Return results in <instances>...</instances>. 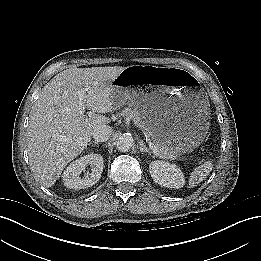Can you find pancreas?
I'll list each match as a JSON object with an SVG mask.
<instances>
[{"instance_id":"cf45deb5","label":"pancreas","mask_w":261,"mask_h":261,"mask_svg":"<svg viewBox=\"0 0 261 261\" xmlns=\"http://www.w3.org/2000/svg\"><path fill=\"white\" fill-rule=\"evenodd\" d=\"M119 116L123 117H130L134 123L142 130L144 131L151 139H152V134L146 127V123L141 119V114L139 113L138 110L132 109V108H125L119 113ZM156 147L158 148L160 155L163 158L167 159H176L177 158V153L174 151V149L167 144H164L159 141H154Z\"/></svg>"}]
</instances>
